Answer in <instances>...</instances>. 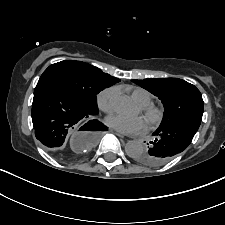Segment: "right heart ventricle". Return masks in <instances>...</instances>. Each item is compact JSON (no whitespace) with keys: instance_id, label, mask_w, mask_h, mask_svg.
Segmentation results:
<instances>
[{"instance_id":"1","label":"right heart ventricle","mask_w":225,"mask_h":225,"mask_svg":"<svg viewBox=\"0 0 225 225\" xmlns=\"http://www.w3.org/2000/svg\"><path fill=\"white\" fill-rule=\"evenodd\" d=\"M131 96L140 106L149 105L153 100L151 93L143 88H134Z\"/></svg>"}]
</instances>
